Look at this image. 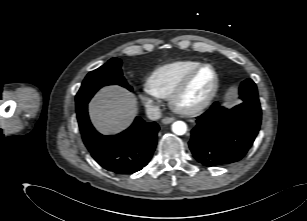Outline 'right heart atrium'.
Returning a JSON list of instances; mask_svg holds the SVG:
<instances>
[{
	"label": "right heart atrium",
	"mask_w": 307,
	"mask_h": 221,
	"mask_svg": "<svg viewBox=\"0 0 307 221\" xmlns=\"http://www.w3.org/2000/svg\"><path fill=\"white\" fill-rule=\"evenodd\" d=\"M139 98L147 107H152L154 105V100L146 93H140Z\"/></svg>",
	"instance_id": "right-heart-atrium-1"
}]
</instances>
